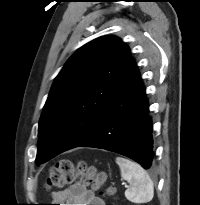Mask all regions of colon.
I'll return each instance as SVG.
<instances>
[{
    "instance_id": "5ec220e1",
    "label": "colon",
    "mask_w": 200,
    "mask_h": 205,
    "mask_svg": "<svg viewBox=\"0 0 200 205\" xmlns=\"http://www.w3.org/2000/svg\"><path fill=\"white\" fill-rule=\"evenodd\" d=\"M73 182L89 185L94 190H102L106 182V175L84 161L74 165L69 160H61L49 169L45 186L50 190L62 188ZM104 193L114 195L115 188L106 187Z\"/></svg>"
}]
</instances>
